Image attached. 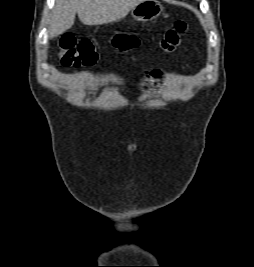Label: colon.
I'll list each match as a JSON object with an SVG mask.
<instances>
[{
    "label": "colon",
    "instance_id": "1",
    "mask_svg": "<svg viewBox=\"0 0 254 267\" xmlns=\"http://www.w3.org/2000/svg\"><path fill=\"white\" fill-rule=\"evenodd\" d=\"M186 24L177 21L174 27L166 32L160 46L165 52H173L178 49L183 41V33ZM113 44L121 51L133 49L139 45V40L132 35L118 34L113 39ZM59 56L62 65L67 67H79L93 65L98 59V53L94 44L89 40L77 41L71 33L64 34L59 41Z\"/></svg>",
    "mask_w": 254,
    "mask_h": 267
}]
</instances>
